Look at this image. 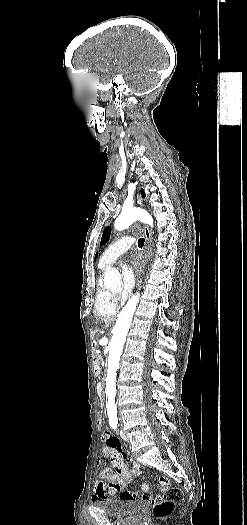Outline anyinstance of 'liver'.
Here are the masks:
<instances>
[{"label":"liver","instance_id":"6515ba94","mask_svg":"<svg viewBox=\"0 0 247 525\" xmlns=\"http://www.w3.org/2000/svg\"><path fill=\"white\" fill-rule=\"evenodd\" d=\"M109 323H110V321H107L105 327H109Z\"/></svg>","mask_w":247,"mask_h":525}]
</instances>
